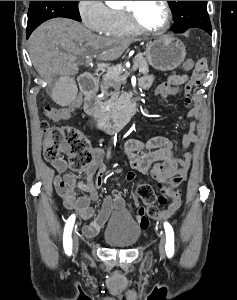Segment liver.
<instances>
[{
	"label": "liver",
	"mask_w": 237,
	"mask_h": 300,
	"mask_svg": "<svg viewBox=\"0 0 237 300\" xmlns=\"http://www.w3.org/2000/svg\"><path fill=\"white\" fill-rule=\"evenodd\" d=\"M132 37H100L71 19H51L32 33L30 59L40 75H77L91 53L98 61H115L123 55Z\"/></svg>",
	"instance_id": "6515ba94"
}]
</instances>
